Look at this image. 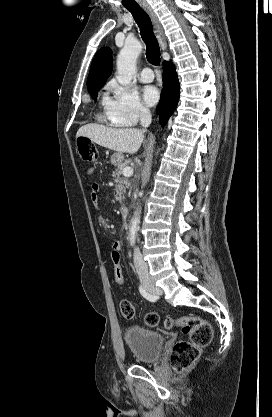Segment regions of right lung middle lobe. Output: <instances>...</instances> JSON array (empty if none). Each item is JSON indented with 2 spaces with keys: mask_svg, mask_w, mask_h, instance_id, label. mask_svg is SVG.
Segmentation results:
<instances>
[{
  "mask_svg": "<svg viewBox=\"0 0 272 417\" xmlns=\"http://www.w3.org/2000/svg\"><path fill=\"white\" fill-rule=\"evenodd\" d=\"M99 91V89H97V90H93V91H88L89 93H90V95H91V97L93 98V99H95L96 97H97V92Z\"/></svg>",
  "mask_w": 272,
  "mask_h": 417,
  "instance_id": "dd1d6c3e",
  "label": "right lung middle lobe"
}]
</instances>
